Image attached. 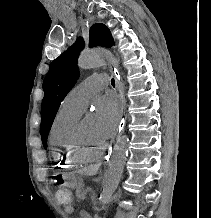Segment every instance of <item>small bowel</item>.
<instances>
[{"mask_svg": "<svg viewBox=\"0 0 211 218\" xmlns=\"http://www.w3.org/2000/svg\"><path fill=\"white\" fill-rule=\"evenodd\" d=\"M66 209L68 212H71L73 210V207L71 205H68Z\"/></svg>", "mask_w": 211, "mask_h": 218, "instance_id": "c3829d8e", "label": "small bowel"}]
</instances>
